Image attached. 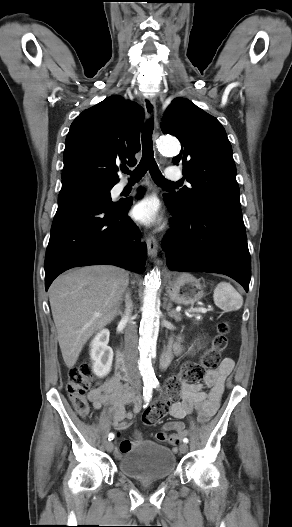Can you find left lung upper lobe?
<instances>
[{"mask_svg": "<svg viewBox=\"0 0 292 527\" xmlns=\"http://www.w3.org/2000/svg\"><path fill=\"white\" fill-rule=\"evenodd\" d=\"M161 127L181 142V152L172 161L183 165L184 177L192 185L166 194L172 205L183 213L206 205L240 208L232 147L220 122L190 100L176 98Z\"/></svg>", "mask_w": 292, "mask_h": 527, "instance_id": "obj_1", "label": "left lung upper lobe"}]
</instances>
